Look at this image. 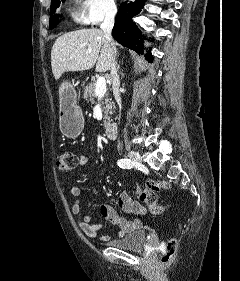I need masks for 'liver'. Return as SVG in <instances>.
<instances>
[{
    "label": "liver",
    "instance_id": "6515ba94",
    "mask_svg": "<svg viewBox=\"0 0 240 281\" xmlns=\"http://www.w3.org/2000/svg\"><path fill=\"white\" fill-rule=\"evenodd\" d=\"M111 48L103 31L97 28L65 33L56 39L51 50L55 79H59L65 72L85 71L94 65L96 72L109 71Z\"/></svg>",
    "mask_w": 240,
    "mask_h": 281
}]
</instances>
